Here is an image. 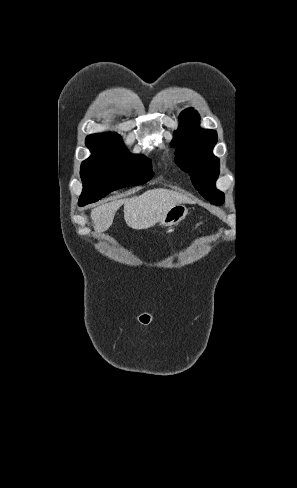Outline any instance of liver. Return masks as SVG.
Masks as SVG:
<instances>
[{"label": "liver", "mask_w": 297, "mask_h": 488, "mask_svg": "<svg viewBox=\"0 0 297 488\" xmlns=\"http://www.w3.org/2000/svg\"><path fill=\"white\" fill-rule=\"evenodd\" d=\"M190 200L183 194L157 188L140 196L115 200L94 208L91 218L98 232L106 231L113 223L115 213L124 205L126 224L135 230L148 229L156 224L173 206Z\"/></svg>", "instance_id": "1"}]
</instances>
